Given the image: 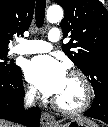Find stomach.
<instances>
[{"label":"stomach","instance_id":"0dacf381","mask_svg":"<svg viewBox=\"0 0 108 127\" xmlns=\"http://www.w3.org/2000/svg\"><path fill=\"white\" fill-rule=\"evenodd\" d=\"M45 127H98L96 124H89L77 119H73L67 123L60 124L59 122H55L52 125H47Z\"/></svg>","mask_w":108,"mask_h":127}]
</instances>
